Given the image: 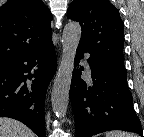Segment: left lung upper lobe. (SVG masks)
I'll return each mask as SVG.
<instances>
[{
	"label": "left lung upper lobe",
	"instance_id": "5c2ea615",
	"mask_svg": "<svg viewBox=\"0 0 144 137\" xmlns=\"http://www.w3.org/2000/svg\"><path fill=\"white\" fill-rule=\"evenodd\" d=\"M67 16L81 25L80 47L98 59L125 69L123 22L114 5L108 0H73Z\"/></svg>",
	"mask_w": 144,
	"mask_h": 137
}]
</instances>
